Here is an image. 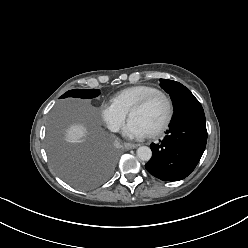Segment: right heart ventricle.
<instances>
[{
  "instance_id": "1",
  "label": "right heart ventricle",
  "mask_w": 248,
  "mask_h": 248,
  "mask_svg": "<svg viewBox=\"0 0 248 248\" xmlns=\"http://www.w3.org/2000/svg\"><path fill=\"white\" fill-rule=\"evenodd\" d=\"M157 90V88L150 85H134L117 92L112 97V101L125 112H128L133 104Z\"/></svg>"
}]
</instances>
